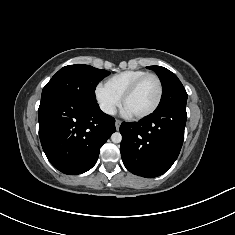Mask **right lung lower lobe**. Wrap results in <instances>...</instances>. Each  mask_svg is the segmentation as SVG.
<instances>
[{"mask_svg":"<svg viewBox=\"0 0 235 235\" xmlns=\"http://www.w3.org/2000/svg\"><path fill=\"white\" fill-rule=\"evenodd\" d=\"M39 137L50 163L69 175L81 174L97 162L100 148L115 132V119L96 102L71 97L41 100Z\"/></svg>","mask_w":235,"mask_h":235,"instance_id":"right-lung-lower-lobe-1","label":"right lung lower lobe"}]
</instances>
